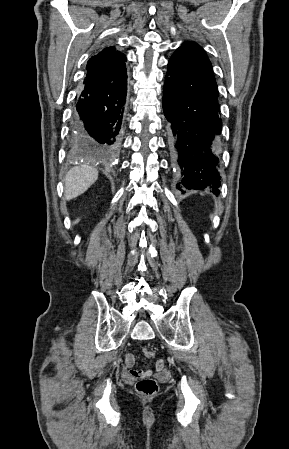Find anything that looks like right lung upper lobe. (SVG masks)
I'll return each instance as SVG.
<instances>
[{"instance_id":"1","label":"right lung upper lobe","mask_w":289,"mask_h":449,"mask_svg":"<svg viewBox=\"0 0 289 449\" xmlns=\"http://www.w3.org/2000/svg\"><path fill=\"white\" fill-rule=\"evenodd\" d=\"M126 57L115 50V47H106L97 55L89 59L86 69L93 72H106L112 68L125 64Z\"/></svg>"}]
</instances>
